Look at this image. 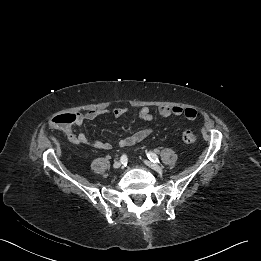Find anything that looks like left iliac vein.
I'll return each instance as SVG.
<instances>
[{"instance_id":"1","label":"left iliac vein","mask_w":261,"mask_h":261,"mask_svg":"<svg viewBox=\"0 0 261 261\" xmlns=\"http://www.w3.org/2000/svg\"><path fill=\"white\" fill-rule=\"evenodd\" d=\"M144 163H145L148 167H150L151 169H153V170H155V171H157V172H159V173L163 172V168H162L161 166H159V165L153 163V162H150V161H148V160H145Z\"/></svg>"}]
</instances>
